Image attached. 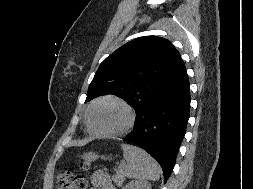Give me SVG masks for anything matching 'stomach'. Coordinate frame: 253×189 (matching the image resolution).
<instances>
[{
	"label": "stomach",
	"instance_id": "obj_1",
	"mask_svg": "<svg viewBox=\"0 0 253 189\" xmlns=\"http://www.w3.org/2000/svg\"><path fill=\"white\" fill-rule=\"evenodd\" d=\"M83 158L88 161V162H91V161H94L98 158V155L93 153V152H89V153H86L83 155Z\"/></svg>",
	"mask_w": 253,
	"mask_h": 189
}]
</instances>
